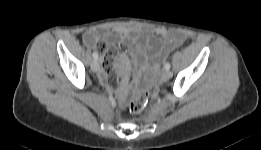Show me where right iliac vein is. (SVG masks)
Instances as JSON below:
<instances>
[{
    "mask_svg": "<svg viewBox=\"0 0 261 150\" xmlns=\"http://www.w3.org/2000/svg\"><path fill=\"white\" fill-rule=\"evenodd\" d=\"M99 62L97 60H94L92 63H91V69L92 71L94 72H98L99 71Z\"/></svg>",
    "mask_w": 261,
    "mask_h": 150,
    "instance_id": "right-iliac-vein-1",
    "label": "right iliac vein"
}]
</instances>
